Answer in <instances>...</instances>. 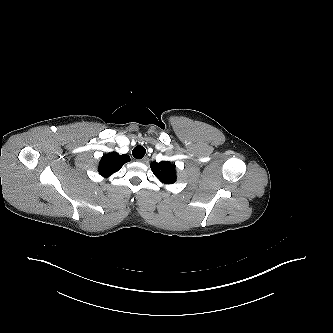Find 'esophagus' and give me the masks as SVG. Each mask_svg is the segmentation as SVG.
Returning <instances> with one entry per match:
<instances>
[{"label":"esophagus","mask_w":333,"mask_h":333,"mask_svg":"<svg viewBox=\"0 0 333 333\" xmlns=\"http://www.w3.org/2000/svg\"><path fill=\"white\" fill-rule=\"evenodd\" d=\"M142 163H147L148 162V157H143L142 159L139 160Z\"/></svg>","instance_id":"obj_1"}]
</instances>
